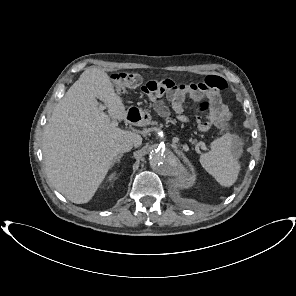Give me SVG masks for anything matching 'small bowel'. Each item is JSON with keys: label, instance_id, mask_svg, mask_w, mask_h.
Instances as JSON below:
<instances>
[{"label": "small bowel", "instance_id": "c3829d8e", "mask_svg": "<svg viewBox=\"0 0 296 296\" xmlns=\"http://www.w3.org/2000/svg\"><path fill=\"white\" fill-rule=\"evenodd\" d=\"M225 87L226 82L224 79L218 76H209L202 82L189 85H177L171 79L150 80L142 87V90L154 103L155 109L160 115L167 116L170 114V110L164 101L160 99L165 95L178 120L187 122L188 118L183 114V103L187 96L196 102H200L206 97L219 101V92ZM224 110L226 118L227 110L225 108Z\"/></svg>", "mask_w": 296, "mask_h": 296}]
</instances>
